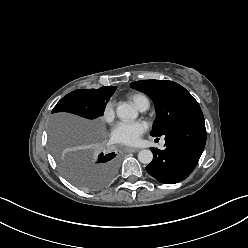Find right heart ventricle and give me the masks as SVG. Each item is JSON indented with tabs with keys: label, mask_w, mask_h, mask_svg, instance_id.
Here are the masks:
<instances>
[{
	"label": "right heart ventricle",
	"mask_w": 248,
	"mask_h": 248,
	"mask_svg": "<svg viewBox=\"0 0 248 248\" xmlns=\"http://www.w3.org/2000/svg\"><path fill=\"white\" fill-rule=\"evenodd\" d=\"M130 98L137 108L145 104L149 105L148 98L142 93H134L130 96Z\"/></svg>",
	"instance_id": "1"
}]
</instances>
